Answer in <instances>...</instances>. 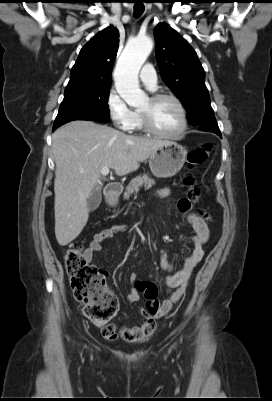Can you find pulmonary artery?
<instances>
[{
	"mask_svg": "<svg viewBox=\"0 0 272 401\" xmlns=\"http://www.w3.org/2000/svg\"><path fill=\"white\" fill-rule=\"evenodd\" d=\"M141 82L150 90H155L157 84V76L152 65L146 64L140 73Z\"/></svg>",
	"mask_w": 272,
	"mask_h": 401,
	"instance_id": "e3ab8cb5",
	"label": "pulmonary artery"
}]
</instances>
